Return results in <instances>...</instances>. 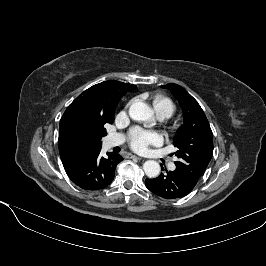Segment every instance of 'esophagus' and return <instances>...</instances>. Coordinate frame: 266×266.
<instances>
[{
  "mask_svg": "<svg viewBox=\"0 0 266 266\" xmlns=\"http://www.w3.org/2000/svg\"><path fill=\"white\" fill-rule=\"evenodd\" d=\"M129 157L133 158V159H137V160H141L142 159L141 157L136 156V155H132V154H130Z\"/></svg>",
  "mask_w": 266,
  "mask_h": 266,
  "instance_id": "34e87169",
  "label": "esophagus"
}]
</instances>
